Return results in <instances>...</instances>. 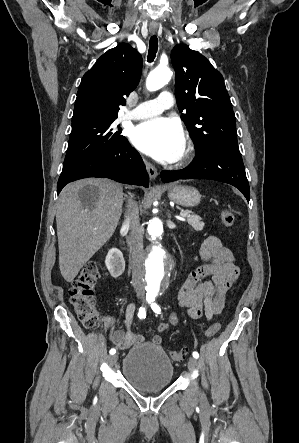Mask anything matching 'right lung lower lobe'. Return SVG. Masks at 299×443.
Wrapping results in <instances>:
<instances>
[{
    "label": "right lung lower lobe",
    "mask_w": 299,
    "mask_h": 443,
    "mask_svg": "<svg viewBox=\"0 0 299 443\" xmlns=\"http://www.w3.org/2000/svg\"><path fill=\"white\" fill-rule=\"evenodd\" d=\"M103 177L117 182L148 187L149 176L139 153L126 141L109 151L92 155L63 170L57 184V194L69 182Z\"/></svg>",
    "instance_id": "1"
}]
</instances>
